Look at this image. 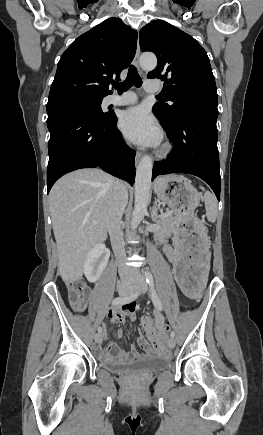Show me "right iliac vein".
I'll use <instances>...</instances> for the list:
<instances>
[{
  "instance_id": "1",
  "label": "right iliac vein",
  "mask_w": 263,
  "mask_h": 435,
  "mask_svg": "<svg viewBox=\"0 0 263 435\" xmlns=\"http://www.w3.org/2000/svg\"><path fill=\"white\" fill-rule=\"evenodd\" d=\"M118 291H119V294L121 296H128L131 293L132 289L129 288V287H121V288H119ZM102 338L103 337H102L101 333H96L95 336H94V339H95L96 343H101L102 342Z\"/></svg>"
}]
</instances>
